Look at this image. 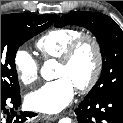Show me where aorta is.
I'll use <instances>...</instances> for the list:
<instances>
[{"label": "aorta", "instance_id": "762f6f07", "mask_svg": "<svg viewBox=\"0 0 123 123\" xmlns=\"http://www.w3.org/2000/svg\"><path fill=\"white\" fill-rule=\"evenodd\" d=\"M56 65V61L53 59L47 60L44 62L41 68V76L45 80H52L54 78V67ZM58 123H72L71 119L68 117L62 118L58 121Z\"/></svg>", "mask_w": 123, "mask_h": 123}]
</instances>
